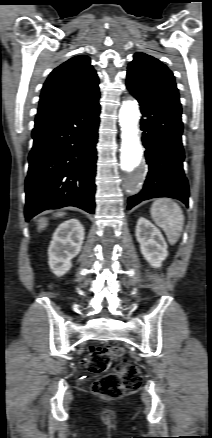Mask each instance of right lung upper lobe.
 <instances>
[{"instance_id":"cb5924a9","label":"right lung upper lobe","mask_w":212,"mask_h":438,"mask_svg":"<svg viewBox=\"0 0 212 438\" xmlns=\"http://www.w3.org/2000/svg\"><path fill=\"white\" fill-rule=\"evenodd\" d=\"M98 85L89 57H73L49 75L42 88L38 114L93 102L100 96Z\"/></svg>"}]
</instances>
